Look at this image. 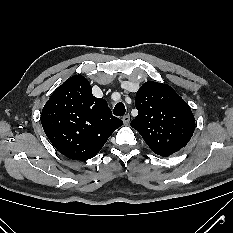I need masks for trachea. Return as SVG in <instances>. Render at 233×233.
<instances>
[{"label": "trachea", "mask_w": 233, "mask_h": 233, "mask_svg": "<svg viewBox=\"0 0 233 233\" xmlns=\"http://www.w3.org/2000/svg\"><path fill=\"white\" fill-rule=\"evenodd\" d=\"M126 110H125V105L120 102L118 104H116V106L114 107L113 113L116 116H123L125 114Z\"/></svg>", "instance_id": "1"}]
</instances>
